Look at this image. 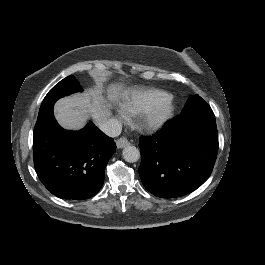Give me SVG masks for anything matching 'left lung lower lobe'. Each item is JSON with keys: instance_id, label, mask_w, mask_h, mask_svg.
Segmentation results:
<instances>
[{"instance_id": "0a47b994", "label": "left lung lower lobe", "mask_w": 265, "mask_h": 265, "mask_svg": "<svg viewBox=\"0 0 265 265\" xmlns=\"http://www.w3.org/2000/svg\"><path fill=\"white\" fill-rule=\"evenodd\" d=\"M139 174L152 194L186 195L210 176L218 152L215 116L208 104L181 113L156 134L140 137Z\"/></svg>"}]
</instances>
